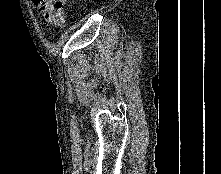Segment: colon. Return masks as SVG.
Wrapping results in <instances>:
<instances>
[{"instance_id":"colon-1","label":"colon","mask_w":221,"mask_h":174,"mask_svg":"<svg viewBox=\"0 0 221 174\" xmlns=\"http://www.w3.org/2000/svg\"><path fill=\"white\" fill-rule=\"evenodd\" d=\"M46 22L61 26L64 23V5L67 0H34Z\"/></svg>"}]
</instances>
